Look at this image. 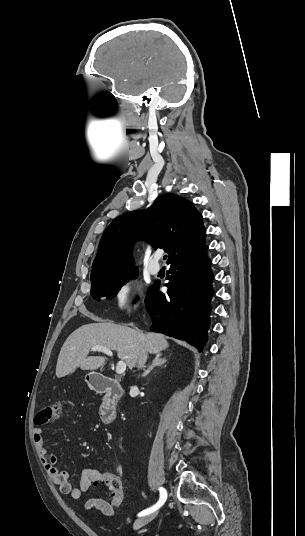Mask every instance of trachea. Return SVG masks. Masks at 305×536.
Wrapping results in <instances>:
<instances>
[{
	"instance_id": "obj_1",
	"label": "trachea",
	"mask_w": 305,
	"mask_h": 536,
	"mask_svg": "<svg viewBox=\"0 0 305 536\" xmlns=\"http://www.w3.org/2000/svg\"><path fill=\"white\" fill-rule=\"evenodd\" d=\"M163 259L166 260V259H167V255H165Z\"/></svg>"
}]
</instances>
